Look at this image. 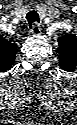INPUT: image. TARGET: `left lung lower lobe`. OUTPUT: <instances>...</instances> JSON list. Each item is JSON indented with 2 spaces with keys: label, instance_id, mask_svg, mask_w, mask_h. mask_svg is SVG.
Here are the masks:
<instances>
[{
  "label": "left lung lower lobe",
  "instance_id": "0a47b994",
  "mask_svg": "<svg viewBox=\"0 0 77 125\" xmlns=\"http://www.w3.org/2000/svg\"><path fill=\"white\" fill-rule=\"evenodd\" d=\"M64 70H65V71H72L71 69H66V68H65Z\"/></svg>",
  "mask_w": 77,
  "mask_h": 125
}]
</instances>
